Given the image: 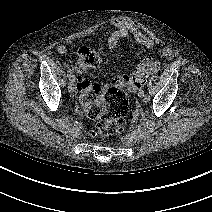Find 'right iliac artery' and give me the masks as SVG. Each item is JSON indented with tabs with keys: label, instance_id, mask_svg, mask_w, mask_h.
I'll list each match as a JSON object with an SVG mask.
<instances>
[{
	"label": "right iliac artery",
	"instance_id": "obj_1",
	"mask_svg": "<svg viewBox=\"0 0 212 212\" xmlns=\"http://www.w3.org/2000/svg\"><path fill=\"white\" fill-rule=\"evenodd\" d=\"M67 72H68L69 80L70 79H74V75L72 74V71H71V69L69 67L67 68Z\"/></svg>",
	"mask_w": 212,
	"mask_h": 212
}]
</instances>
